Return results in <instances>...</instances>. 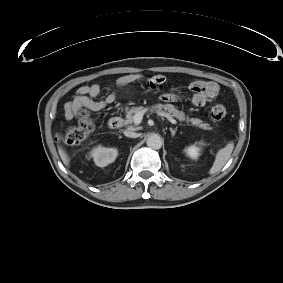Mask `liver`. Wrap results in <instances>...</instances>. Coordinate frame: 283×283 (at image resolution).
<instances>
[{"label": "liver", "instance_id": "1", "mask_svg": "<svg viewBox=\"0 0 283 283\" xmlns=\"http://www.w3.org/2000/svg\"><path fill=\"white\" fill-rule=\"evenodd\" d=\"M58 153H59V155H60L61 160L63 161V163H64L66 166H68L70 160H69L68 155L66 154L65 150H64L61 146L58 147Z\"/></svg>", "mask_w": 283, "mask_h": 283}]
</instances>
